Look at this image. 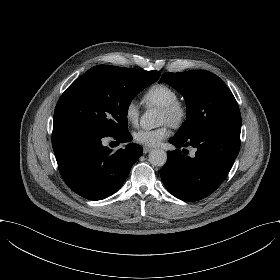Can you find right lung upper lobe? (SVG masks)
I'll return each instance as SVG.
<instances>
[{"instance_id":"obj_1","label":"right lung upper lobe","mask_w":280,"mask_h":280,"mask_svg":"<svg viewBox=\"0 0 280 280\" xmlns=\"http://www.w3.org/2000/svg\"><path fill=\"white\" fill-rule=\"evenodd\" d=\"M148 73L152 74L153 76L156 77V79L158 80L159 76H160V72L158 71H147Z\"/></svg>"}]
</instances>
